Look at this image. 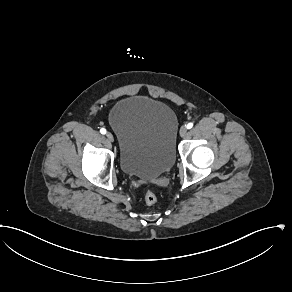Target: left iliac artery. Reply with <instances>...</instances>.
<instances>
[{"mask_svg": "<svg viewBox=\"0 0 292 292\" xmlns=\"http://www.w3.org/2000/svg\"><path fill=\"white\" fill-rule=\"evenodd\" d=\"M186 127L187 129H191L193 127V123L192 122L188 123Z\"/></svg>", "mask_w": 292, "mask_h": 292, "instance_id": "left-iliac-artery-1", "label": "left iliac artery"}]
</instances>
